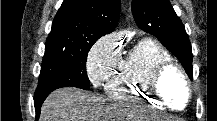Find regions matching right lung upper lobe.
<instances>
[{
    "label": "right lung upper lobe",
    "mask_w": 217,
    "mask_h": 121,
    "mask_svg": "<svg viewBox=\"0 0 217 121\" xmlns=\"http://www.w3.org/2000/svg\"><path fill=\"white\" fill-rule=\"evenodd\" d=\"M120 8V0H64L47 39L98 40L115 29Z\"/></svg>",
    "instance_id": "obj_1"
}]
</instances>
